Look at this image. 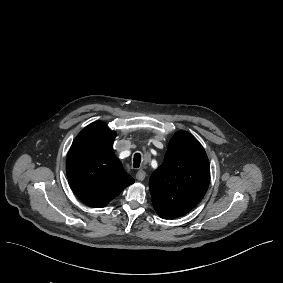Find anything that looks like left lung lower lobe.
Wrapping results in <instances>:
<instances>
[{
	"instance_id": "obj_1",
	"label": "left lung lower lobe",
	"mask_w": 283,
	"mask_h": 283,
	"mask_svg": "<svg viewBox=\"0 0 283 283\" xmlns=\"http://www.w3.org/2000/svg\"><path fill=\"white\" fill-rule=\"evenodd\" d=\"M159 216L162 217V218H164V219H172V218L178 217V215L167 214V213L159 214Z\"/></svg>"
}]
</instances>
